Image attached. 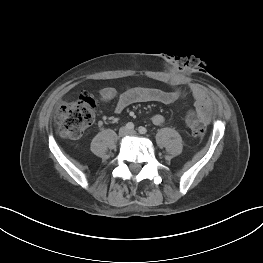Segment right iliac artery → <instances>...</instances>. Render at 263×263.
<instances>
[{
    "mask_svg": "<svg viewBox=\"0 0 263 263\" xmlns=\"http://www.w3.org/2000/svg\"><path fill=\"white\" fill-rule=\"evenodd\" d=\"M126 128H127L128 130H133V129H134V124H133L132 122H128V123L126 124Z\"/></svg>",
    "mask_w": 263,
    "mask_h": 263,
    "instance_id": "right-iliac-artery-1",
    "label": "right iliac artery"
}]
</instances>
